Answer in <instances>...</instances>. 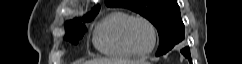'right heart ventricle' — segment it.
<instances>
[{"label": "right heart ventricle", "instance_id": "obj_1", "mask_svg": "<svg viewBox=\"0 0 242 64\" xmlns=\"http://www.w3.org/2000/svg\"><path fill=\"white\" fill-rule=\"evenodd\" d=\"M131 15L116 11L106 16L95 28L93 43L102 54L114 58H130L134 54L129 51L123 41V28Z\"/></svg>", "mask_w": 242, "mask_h": 64}]
</instances>
